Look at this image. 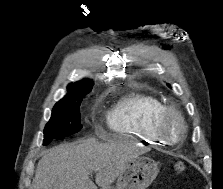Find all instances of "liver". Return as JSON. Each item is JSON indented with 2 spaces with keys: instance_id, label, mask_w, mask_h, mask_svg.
<instances>
[{
  "instance_id": "1",
  "label": "liver",
  "mask_w": 223,
  "mask_h": 189,
  "mask_svg": "<svg viewBox=\"0 0 223 189\" xmlns=\"http://www.w3.org/2000/svg\"><path fill=\"white\" fill-rule=\"evenodd\" d=\"M141 152L133 145L94 138L60 144L38 162L33 189H108ZM92 171L96 184L89 179Z\"/></svg>"
}]
</instances>
